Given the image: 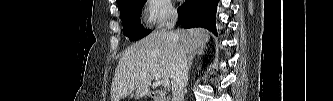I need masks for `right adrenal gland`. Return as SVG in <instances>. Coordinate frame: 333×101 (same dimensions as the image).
<instances>
[{"instance_id":"right-adrenal-gland-1","label":"right adrenal gland","mask_w":333,"mask_h":101,"mask_svg":"<svg viewBox=\"0 0 333 101\" xmlns=\"http://www.w3.org/2000/svg\"><path fill=\"white\" fill-rule=\"evenodd\" d=\"M204 49H205V47L203 46L200 49H198L197 51H195L189 55L188 71H190L192 62H193L194 58L196 57V55L202 54L204 52Z\"/></svg>"}]
</instances>
